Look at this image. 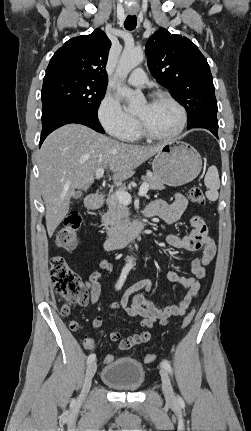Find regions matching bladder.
<instances>
[{"mask_svg": "<svg viewBox=\"0 0 251 431\" xmlns=\"http://www.w3.org/2000/svg\"><path fill=\"white\" fill-rule=\"evenodd\" d=\"M100 377L104 384L116 390L135 391L145 381V369L134 359L120 358L106 365Z\"/></svg>", "mask_w": 251, "mask_h": 431, "instance_id": "31cf9c89", "label": "bladder"}]
</instances>
